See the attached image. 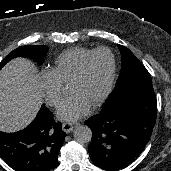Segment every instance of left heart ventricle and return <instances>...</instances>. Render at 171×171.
I'll list each match as a JSON object with an SVG mask.
<instances>
[{"instance_id":"left-heart-ventricle-1","label":"left heart ventricle","mask_w":171,"mask_h":171,"mask_svg":"<svg viewBox=\"0 0 171 171\" xmlns=\"http://www.w3.org/2000/svg\"><path fill=\"white\" fill-rule=\"evenodd\" d=\"M110 72V56L99 53L88 63L82 77L68 85V93L79 94L92 106L105 91Z\"/></svg>"}]
</instances>
